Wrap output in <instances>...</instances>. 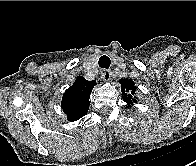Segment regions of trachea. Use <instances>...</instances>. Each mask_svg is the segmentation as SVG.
I'll list each match as a JSON object with an SVG mask.
<instances>
[{"instance_id": "obj_1", "label": "trachea", "mask_w": 196, "mask_h": 166, "mask_svg": "<svg viewBox=\"0 0 196 166\" xmlns=\"http://www.w3.org/2000/svg\"><path fill=\"white\" fill-rule=\"evenodd\" d=\"M99 66L101 68L107 69L110 66V59L108 56L103 55L100 57L99 62H98Z\"/></svg>"}]
</instances>
